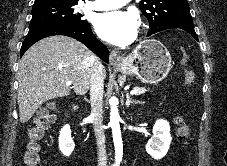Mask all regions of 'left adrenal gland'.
<instances>
[{"mask_svg": "<svg viewBox=\"0 0 227 166\" xmlns=\"http://www.w3.org/2000/svg\"><path fill=\"white\" fill-rule=\"evenodd\" d=\"M140 103H141V101L132 100L130 98V95L128 93H126V103H125L126 107H129L131 104L135 105V104H140Z\"/></svg>", "mask_w": 227, "mask_h": 166, "instance_id": "left-adrenal-gland-1", "label": "left adrenal gland"}]
</instances>
